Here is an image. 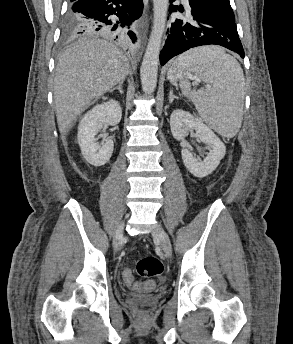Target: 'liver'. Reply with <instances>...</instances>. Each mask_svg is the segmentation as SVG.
<instances>
[{"mask_svg":"<svg viewBox=\"0 0 293 344\" xmlns=\"http://www.w3.org/2000/svg\"><path fill=\"white\" fill-rule=\"evenodd\" d=\"M127 56L113 43L89 38L74 43L60 56L54 78L59 131L65 135L90 105L125 80Z\"/></svg>","mask_w":293,"mask_h":344,"instance_id":"6515ba94","label":"liver"}]
</instances>
